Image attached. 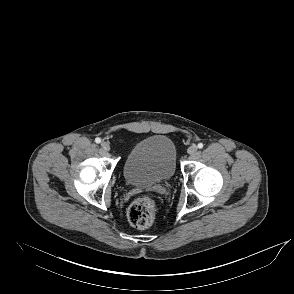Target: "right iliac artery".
Instances as JSON below:
<instances>
[{"label":"right iliac artery","mask_w":294,"mask_h":294,"mask_svg":"<svg viewBox=\"0 0 294 294\" xmlns=\"http://www.w3.org/2000/svg\"><path fill=\"white\" fill-rule=\"evenodd\" d=\"M95 142L99 144V143L101 142V139H100L99 137H97V138L95 139Z\"/></svg>","instance_id":"82829eb1"}]
</instances>
